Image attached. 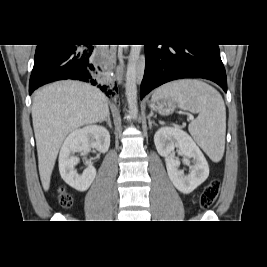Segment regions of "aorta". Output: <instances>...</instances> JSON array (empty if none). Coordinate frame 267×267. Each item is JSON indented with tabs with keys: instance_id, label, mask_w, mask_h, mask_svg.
<instances>
[{
	"instance_id": "aorta-1",
	"label": "aorta",
	"mask_w": 267,
	"mask_h": 267,
	"mask_svg": "<svg viewBox=\"0 0 267 267\" xmlns=\"http://www.w3.org/2000/svg\"><path fill=\"white\" fill-rule=\"evenodd\" d=\"M142 45H132L126 73V97L130 113L136 117L137 107V65Z\"/></svg>"
}]
</instances>
